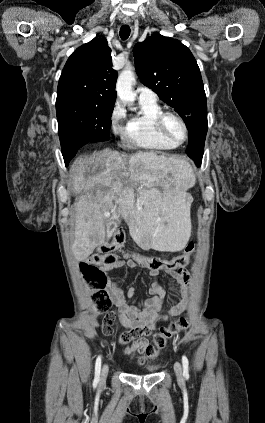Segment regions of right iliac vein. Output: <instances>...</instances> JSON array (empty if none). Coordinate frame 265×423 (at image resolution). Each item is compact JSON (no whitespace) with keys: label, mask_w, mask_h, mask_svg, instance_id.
<instances>
[{"label":"right iliac vein","mask_w":265,"mask_h":423,"mask_svg":"<svg viewBox=\"0 0 265 423\" xmlns=\"http://www.w3.org/2000/svg\"><path fill=\"white\" fill-rule=\"evenodd\" d=\"M107 373H108V365H107V364H105V365L103 366V368H102V372H101V380H102V381L105 379V377H106Z\"/></svg>","instance_id":"right-iliac-vein-1"}]
</instances>
